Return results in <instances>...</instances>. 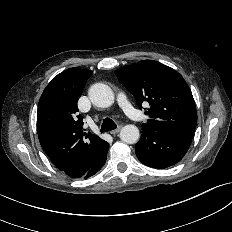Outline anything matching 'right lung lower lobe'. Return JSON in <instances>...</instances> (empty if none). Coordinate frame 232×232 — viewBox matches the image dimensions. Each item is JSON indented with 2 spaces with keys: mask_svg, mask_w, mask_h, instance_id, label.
Wrapping results in <instances>:
<instances>
[{
  "mask_svg": "<svg viewBox=\"0 0 232 232\" xmlns=\"http://www.w3.org/2000/svg\"><path fill=\"white\" fill-rule=\"evenodd\" d=\"M109 148V147H108ZM107 151L108 149L106 150V152L103 154V156L99 159V161L94 165L92 166L87 172L86 174L83 176V178H88L92 175H94L96 172H98L102 166L105 164L106 162V157H107Z\"/></svg>",
  "mask_w": 232,
  "mask_h": 232,
  "instance_id": "obj_1",
  "label": "right lung lower lobe"
}]
</instances>
